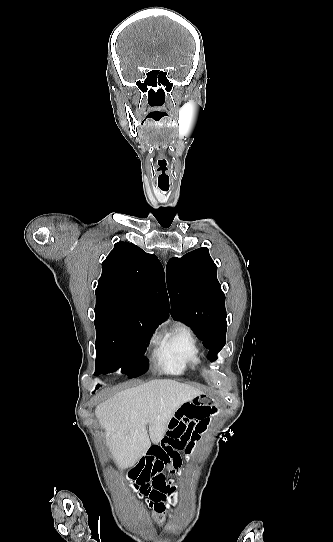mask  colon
<instances>
[{"label":"colon","mask_w":333,"mask_h":542,"mask_svg":"<svg viewBox=\"0 0 333 542\" xmlns=\"http://www.w3.org/2000/svg\"><path fill=\"white\" fill-rule=\"evenodd\" d=\"M168 501H172V498H168Z\"/></svg>","instance_id":"obj_1"}]
</instances>
